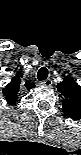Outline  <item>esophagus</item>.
<instances>
[{
	"instance_id": "obj_1",
	"label": "esophagus",
	"mask_w": 81,
	"mask_h": 155,
	"mask_svg": "<svg viewBox=\"0 0 81 155\" xmlns=\"http://www.w3.org/2000/svg\"><path fill=\"white\" fill-rule=\"evenodd\" d=\"M40 84L42 86H47V87H50L52 85V80L51 79H46L44 81H41Z\"/></svg>"
}]
</instances>
